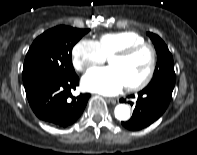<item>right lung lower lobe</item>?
<instances>
[{
  "label": "right lung lower lobe",
  "instance_id": "98d812e1",
  "mask_svg": "<svg viewBox=\"0 0 197 155\" xmlns=\"http://www.w3.org/2000/svg\"><path fill=\"white\" fill-rule=\"evenodd\" d=\"M79 78L76 73L58 81L48 82L27 95L28 102L38 118L57 127H67L74 123L82 114L90 94H80L67 98L71 90L76 89Z\"/></svg>",
  "mask_w": 197,
  "mask_h": 155
}]
</instances>
